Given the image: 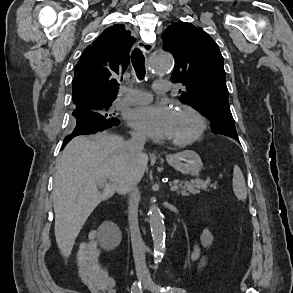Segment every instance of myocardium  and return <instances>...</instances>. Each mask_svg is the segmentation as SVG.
<instances>
[{"mask_svg":"<svg viewBox=\"0 0 293 293\" xmlns=\"http://www.w3.org/2000/svg\"><path fill=\"white\" fill-rule=\"evenodd\" d=\"M177 112L188 114L194 118L197 126L191 136L184 139L170 140L169 143L174 146H187L199 140L206 130L205 118L197 110L189 106H180Z\"/></svg>","mask_w":293,"mask_h":293,"instance_id":"obj_1","label":"myocardium"}]
</instances>
